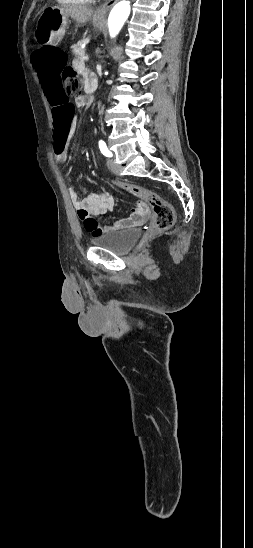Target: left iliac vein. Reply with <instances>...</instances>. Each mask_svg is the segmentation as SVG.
Returning <instances> with one entry per match:
<instances>
[{"label":"left iliac vein","instance_id":"left-iliac-vein-1","mask_svg":"<svg viewBox=\"0 0 253 548\" xmlns=\"http://www.w3.org/2000/svg\"><path fill=\"white\" fill-rule=\"evenodd\" d=\"M107 166L108 168L114 173V174H118L119 173V170H118V167L114 161V159H108L107 161Z\"/></svg>","mask_w":253,"mask_h":548}]
</instances>
